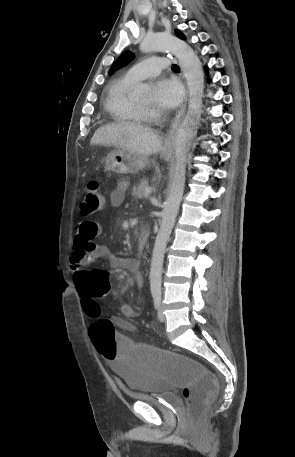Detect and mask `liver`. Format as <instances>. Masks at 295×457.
Segmentation results:
<instances>
[{
	"label": "liver",
	"mask_w": 295,
	"mask_h": 457,
	"mask_svg": "<svg viewBox=\"0 0 295 457\" xmlns=\"http://www.w3.org/2000/svg\"><path fill=\"white\" fill-rule=\"evenodd\" d=\"M90 144L124 149L144 157L160 152L163 147L152 128L134 122L104 125L95 131Z\"/></svg>",
	"instance_id": "6515ba94"
}]
</instances>
